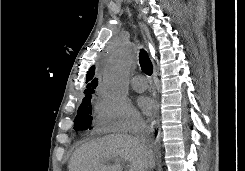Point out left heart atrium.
<instances>
[{
    "mask_svg": "<svg viewBox=\"0 0 245 171\" xmlns=\"http://www.w3.org/2000/svg\"><path fill=\"white\" fill-rule=\"evenodd\" d=\"M138 105L141 110L146 114H151L154 112L156 104L155 101L147 96H141L138 98Z\"/></svg>",
    "mask_w": 245,
    "mask_h": 171,
    "instance_id": "1",
    "label": "left heart atrium"
}]
</instances>
